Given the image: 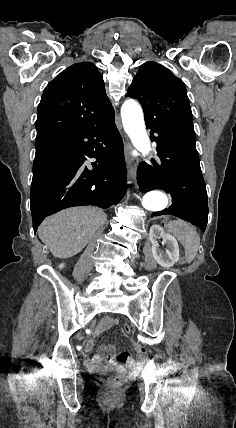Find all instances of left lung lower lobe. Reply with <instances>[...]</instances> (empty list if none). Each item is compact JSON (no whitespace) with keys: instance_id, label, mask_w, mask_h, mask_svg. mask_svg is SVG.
I'll return each instance as SVG.
<instances>
[{"instance_id":"left-lung-lower-lobe-1","label":"left lung lower lobe","mask_w":236,"mask_h":428,"mask_svg":"<svg viewBox=\"0 0 236 428\" xmlns=\"http://www.w3.org/2000/svg\"><path fill=\"white\" fill-rule=\"evenodd\" d=\"M151 141L156 142L160 165L141 163L137 180L141 192L164 190L172 196V205L152 217L173 215L198 226L203 232L208 222L206 185L195 142L181 138L166 126L149 125Z\"/></svg>"}]
</instances>
